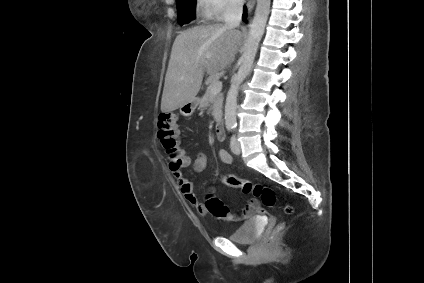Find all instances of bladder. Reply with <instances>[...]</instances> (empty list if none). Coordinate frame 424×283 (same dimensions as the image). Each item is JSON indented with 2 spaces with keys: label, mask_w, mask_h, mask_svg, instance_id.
<instances>
[{
  "label": "bladder",
  "mask_w": 424,
  "mask_h": 283,
  "mask_svg": "<svg viewBox=\"0 0 424 283\" xmlns=\"http://www.w3.org/2000/svg\"><path fill=\"white\" fill-rule=\"evenodd\" d=\"M260 232L261 227L258 220L252 218L244 222L228 238L235 243L251 244L259 237Z\"/></svg>",
  "instance_id": "bladder-1"
}]
</instances>
